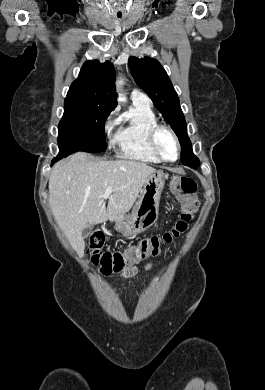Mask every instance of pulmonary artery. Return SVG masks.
<instances>
[{"label":"pulmonary artery","mask_w":265,"mask_h":390,"mask_svg":"<svg viewBox=\"0 0 265 390\" xmlns=\"http://www.w3.org/2000/svg\"><path fill=\"white\" fill-rule=\"evenodd\" d=\"M131 99L135 103L149 104L148 98L137 90H133L131 93Z\"/></svg>","instance_id":"e3ab8cb5"}]
</instances>
